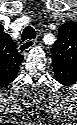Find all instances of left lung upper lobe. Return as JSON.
I'll use <instances>...</instances> for the list:
<instances>
[{
  "label": "left lung upper lobe",
  "instance_id": "left-lung-upper-lobe-1",
  "mask_svg": "<svg viewBox=\"0 0 77 125\" xmlns=\"http://www.w3.org/2000/svg\"><path fill=\"white\" fill-rule=\"evenodd\" d=\"M58 32V39L52 46V64L77 68V24L64 23Z\"/></svg>",
  "mask_w": 77,
  "mask_h": 125
}]
</instances>
